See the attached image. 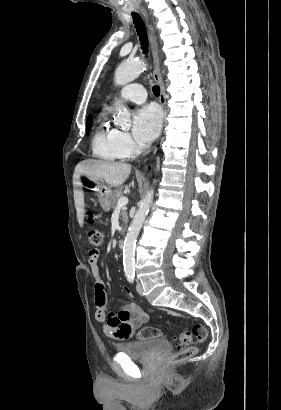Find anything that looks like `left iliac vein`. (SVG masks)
<instances>
[{
	"instance_id": "4c4485c4",
	"label": "left iliac vein",
	"mask_w": 281,
	"mask_h": 410,
	"mask_svg": "<svg viewBox=\"0 0 281 410\" xmlns=\"http://www.w3.org/2000/svg\"><path fill=\"white\" fill-rule=\"evenodd\" d=\"M136 290L140 295L143 294V288H142V284L140 282H137Z\"/></svg>"
}]
</instances>
